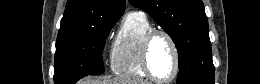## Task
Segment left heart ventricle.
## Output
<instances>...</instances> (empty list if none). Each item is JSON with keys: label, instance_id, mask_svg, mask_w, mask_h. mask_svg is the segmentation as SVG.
Returning <instances> with one entry per match:
<instances>
[{"label": "left heart ventricle", "instance_id": "b2bd125f", "mask_svg": "<svg viewBox=\"0 0 260 84\" xmlns=\"http://www.w3.org/2000/svg\"><path fill=\"white\" fill-rule=\"evenodd\" d=\"M150 66L160 79H168L174 71V53L164 36H157L151 45Z\"/></svg>", "mask_w": 260, "mask_h": 84}]
</instances>
